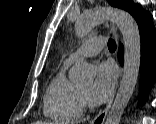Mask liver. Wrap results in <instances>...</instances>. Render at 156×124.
I'll list each match as a JSON object with an SVG mask.
<instances>
[{
    "instance_id": "1",
    "label": "liver",
    "mask_w": 156,
    "mask_h": 124,
    "mask_svg": "<svg viewBox=\"0 0 156 124\" xmlns=\"http://www.w3.org/2000/svg\"><path fill=\"white\" fill-rule=\"evenodd\" d=\"M33 124H51V123L42 122V121H37V122H34Z\"/></svg>"
}]
</instances>
